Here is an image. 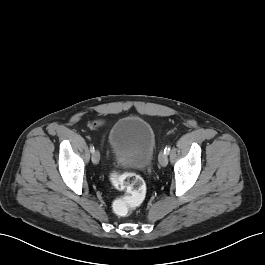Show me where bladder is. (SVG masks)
<instances>
[{"mask_svg": "<svg viewBox=\"0 0 265 265\" xmlns=\"http://www.w3.org/2000/svg\"><path fill=\"white\" fill-rule=\"evenodd\" d=\"M109 146L124 167L143 169L154 155L155 134L151 124L139 116L119 118L109 132Z\"/></svg>", "mask_w": 265, "mask_h": 265, "instance_id": "obj_1", "label": "bladder"}]
</instances>
